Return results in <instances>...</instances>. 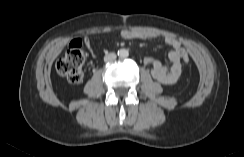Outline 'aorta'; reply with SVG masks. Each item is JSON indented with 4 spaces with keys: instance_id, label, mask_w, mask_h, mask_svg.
Segmentation results:
<instances>
[{
    "instance_id": "aorta-1",
    "label": "aorta",
    "mask_w": 244,
    "mask_h": 157,
    "mask_svg": "<svg viewBox=\"0 0 244 157\" xmlns=\"http://www.w3.org/2000/svg\"><path fill=\"white\" fill-rule=\"evenodd\" d=\"M118 55L120 58H127L129 56V51L127 49H120L118 51Z\"/></svg>"
}]
</instances>
